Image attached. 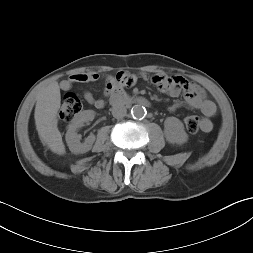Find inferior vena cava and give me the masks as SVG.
<instances>
[{"label":"inferior vena cava","mask_w":253,"mask_h":253,"mask_svg":"<svg viewBox=\"0 0 253 253\" xmlns=\"http://www.w3.org/2000/svg\"><path fill=\"white\" fill-rule=\"evenodd\" d=\"M127 109L123 105H115L112 108V115L115 118H123L126 115Z\"/></svg>","instance_id":"obj_1"}]
</instances>
